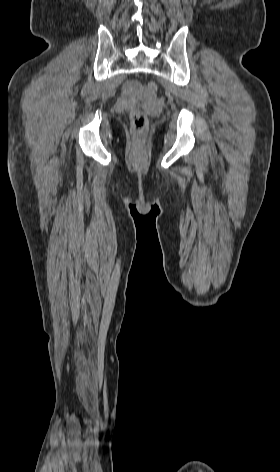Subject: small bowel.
<instances>
[{
	"label": "small bowel",
	"instance_id": "1",
	"mask_svg": "<svg viewBox=\"0 0 280 472\" xmlns=\"http://www.w3.org/2000/svg\"><path fill=\"white\" fill-rule=\"evenodd\" d=\"M138 89H139V86L136 83H128L125 86L124 91L126 94H131Z\"/></svg>",
	"mask_w": 280,
	"mask_h": 472
}]
</instances>
